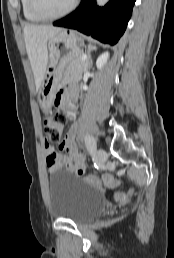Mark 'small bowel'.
Instances as JSON below:
<instances>
[{
    "mask_svg": "<svg viewBox=\"0 0 174 258\" xmlns=\"http://www.w3.org/2000/svg\"><path fill=\"white\" fill-rule=\"evenodd\" d=\"M74 87H67L60 90L54 98L56 106H69L71 98L74 96ZM68 116H73V112L69 111ZM78 126L72 124L64 140L59 144L58 151L47 140L44 143L45 163L50 173L66 169L71 173L83 175L86 172V156L79 153L76 148V136ZM101 179L107 184H123V179H108V174H101Z\"/></svg>",
    "mask_w": 174,
    "mask_h": 258,
    "instance_id": "small-bowel-1",
    "label": "small bowel"
}]
</instances>
